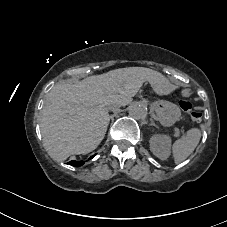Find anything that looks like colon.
I'll return each instance as SVG.
<instances>
[{
  "label": "colon",
  "instance_id": "colon-1",
  "mask_svg": "<svg viewBox=\"0 0 227 227\" xmlns=\"http://www.w3.org/2000/svg\"><path fill=\"white\" fill-rule=\"evenodd\" d=\"M175 95L180 97L178 92H175ZM179 107L192 119L193 121H201L202 112L199 109H193L191 104L187 100H180Z\"/></svg>",
  "mask_w": 227,
  "mask_h": 227
}]
</instances>
